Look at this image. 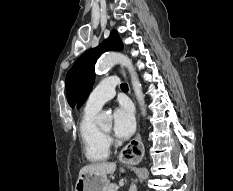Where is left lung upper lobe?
Segmentation results:
<instances>
[{"label":"left lung upper lobe","instance_id":"5c2ea615","mask_svg":"<svg viewBox=\"0 0 233 191\" xmlns=\"http://www.w3.org/2000/svg\"><path fill=\"white\" fill-rule=\"evenodd\" d=\"M122 49L123 43L117 31L113 30L101 45L86 51L76 60L66 76V93L71 107L77 105L79 108L87 99L94 82V66L101 54Z\"/></svg>","mask_w":233,"mask_h":191}]
</instances>
